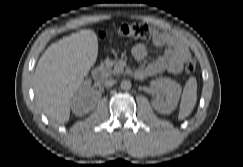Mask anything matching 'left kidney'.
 <instances>
[{
    "instance_id": "left-kidney-1",
    "label": "left kidney",
    "mask_w": 243,
    "mask_h": 167,
    "mask_svg": "<svg viewBox=\"0 0 243 167\" xmlns=\"http://www.w3.org/2000/svg\"><path fill=\"white\" fill-rule=\"evenodd\" d=\"M150 85L153 89L159 90L165 96V100L160 99L152 101L154 109L160 113H171L178 104L181 86L169 78L153 80Z\"/></svg>"
}]
</instances>
